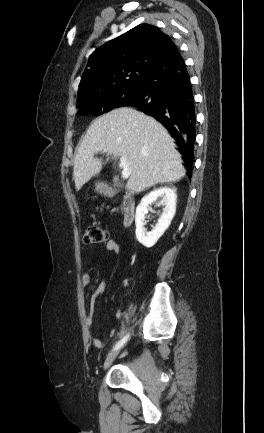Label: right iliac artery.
Here are the masks:
<instances>
[{
    "label": "right iliac artery",
    "mask_w": 264,
    "mask_h": 433,
    "mask_svg": "<svg viewBox=\"0 0 264 433\" xmlns=\"http://www.w3.org/2000/svg\"><path fill=\"white\" fill-rule=\"evenodd\" d=\"M128 338H129V334H127L120 341H118L115 344V346L113 347V350H117V349L121 348L126 343V341L128 340Z\"/></svg>",
    "instance_id": "obj_1"
}]
</instances>
